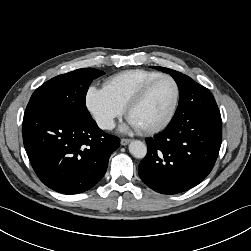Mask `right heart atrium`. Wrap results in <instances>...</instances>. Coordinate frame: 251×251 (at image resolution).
Listing matches in <instances>:
<instances>
[{
    "instance_id": "d8ad5b80",
    "label": "right heart atrium",
    "mask_w": 251,
    "mask_h": 251,
    "mask_svg": "<svg viewBox=\"0 0 251 251\" xmlns=\"http://www.w3.org/2000/svg\"><path fill=\"white\" fill-rule=\"evenodd\" d=\"M85 103L96 124L104 130L111 129L115 120L124 112V107L114 100L104 88L96 86L88 88Z\"/></svg>"
}]
</instances>
